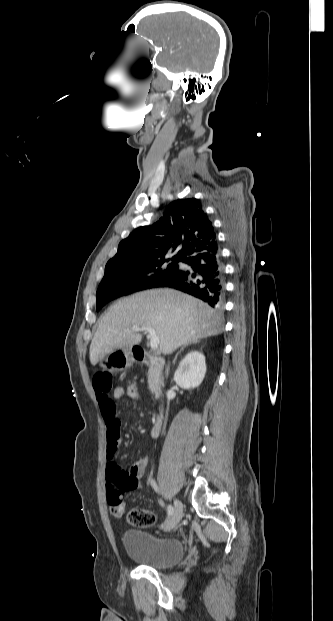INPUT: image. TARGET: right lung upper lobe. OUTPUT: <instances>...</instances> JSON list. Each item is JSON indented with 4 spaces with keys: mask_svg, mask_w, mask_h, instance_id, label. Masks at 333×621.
I'll return each mask as SVG.
<instances>
[{
    "mask_svg": "<svg viewBox=\"0 0 333 621\" xmlns=\"http://www.w3.org/2000/svg\"><path fill=\"white\" fill-rule=\"evenodd\" d=\"M212 223L195 198L170 203L163 216L149 226L135 229L118 246L117 254L106 265L161 258L181 246L174 256H184L215 245Z\"/></svg>",
    "mask_w": 333,
    "mask_h": 621,
    "instance_id": "cb5924a9",
    "label": "right lung upper lobe"
}]
</instances>
